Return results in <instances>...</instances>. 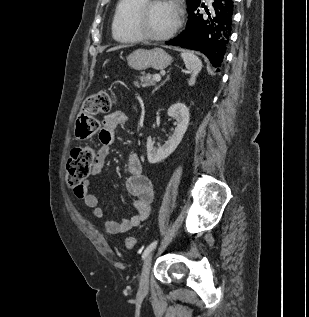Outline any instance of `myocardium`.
Here are the masks:
<instances>
[{
    "instance_id": "1",
    "label": "myocardium",
    "mask_w": 309,
    "mask_h": 317,
    "mask_svg": "<svg viewBox=\"0 0 309 317\" xmlns=\"http://www.w3.org/2000/svg\"><path fill=\"white\" fill-rule=\"evenodd\" d=\"M162 2L171 3L175 7L177 19L172 29H170L167 33L162 35H154L146 30L144 26V21L146 15L151 10V8ZM182 23L183 17L180 7L176 2L170 0H145L140 6H138L133 17V27L135 31L138 33V35L141 37V39L155 42L166 41L173 37L181 28Z\"/></svg>"
}]
</instances>
